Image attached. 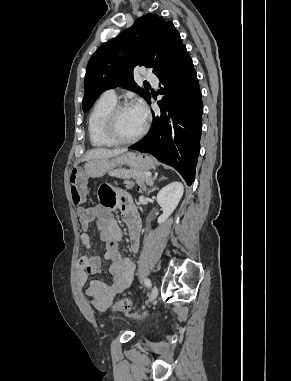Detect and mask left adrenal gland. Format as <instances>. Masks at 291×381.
I'll return each instance as SVG.
<instances>
[{
	"mask_svg": "<svg viewBox=\"0 0 291 381\" xmlns=\"http://www.w3.org/2000/svg\"><path fill=\"white\" fill-rule=\"evenodd\" d=\"M162 179H164V177H162ZM154 183L152 182V183H150V189H148V192H152V191H154L155 190V187H154V185H153Z\"/></svg>",
	"mask_w": 291,
	"mask_h": 381,
	"instance_id": "obj_1",
	"label": "left adrenal gland"
}]
</instances>
